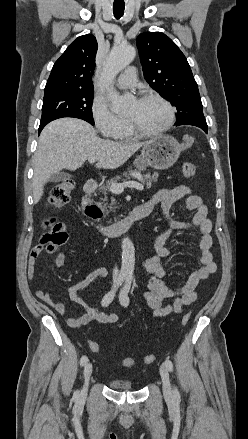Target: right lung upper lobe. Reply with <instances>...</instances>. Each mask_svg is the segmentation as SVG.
I'll list each match as a JSON object with an SVG mask.
<instances>
[{
	"mask_svg": "<svg viewBox=\"0 0 248 439\" xmlns=\"http://www.w3.org/2000/svg\"><path fill=\"white\" fill-rule=\"evenodd\" d=\"M97 48L96 38L91 34L74 40L55 62L45 86V95L93 89L92 74Z\"/></svg>",
	"mask_w": 248,
	"mask_h": 439,
	"instance_id": "right-lung-upper-lobe-1",
	"label": "right lung upper lobe"
}]
</instances>
